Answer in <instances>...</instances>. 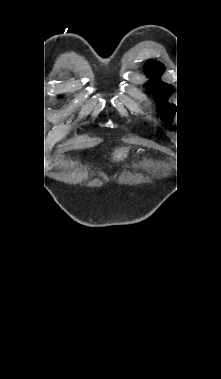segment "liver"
<instances>
[{
    "label": "liver",
    "instance_id": "1",
    "mask_svg": "<svg viewBox=\"0 0 221 379\" xmlns=\"http://www.w3.org/2000/svg\"><path fill=\"white\" fill-rule=\"evenodd\" d=\"M126 152H127L126 147L116 149L114 152V159L122 160L124 158Z\"/></svg>",
    "mask_w": 221,
    "mask_h": 379
}]
</instances>
